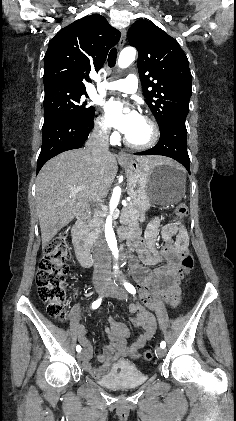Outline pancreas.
I'll list each match as a JSON object with an SVG mask.
<instances>
[{
    "label": "pancreas",
    "instance_id": "pancreas-1",
    "mask_svg": "<svg viewBox=\"0 0 236 421\" xmlns=\"http://www.w3.org/2000/svg\"><path fill=\"white\" fill-rule=\"evenodd\" d=\"M101 215H104L103 211H98V208H95V211H89L86 221L82 223L84 233L89 239V241H95L98 233H100V227L103 225L102 219H99ZM145 221L144 213H140L135 208L133 202L128 200L127 206H123L122 213L120 217L121 225H128V227H138L139 223Z\"/></svg>",
    "mask_w": 236,
    "mask_h": 421
}]
</instances>
